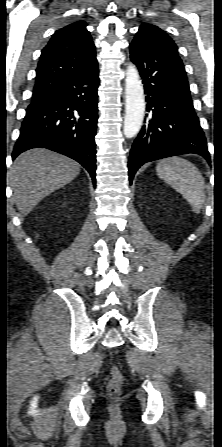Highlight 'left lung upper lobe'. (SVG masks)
<instances>
[{
    "mask_svg": "<svg viewBox=\"0 0 222 447\" xmlns=\"http://www.w3.org/2000/svg\"><path fill=\"white\" fill-rule=\"evenodd\" d=\"M136 36H142L150 40H156L158 42L164 43L173 50L177 51V46L174 41L159 27L144 23L140 26Z\"/></svg>",
    "mask_w": 222,
    "mask_h": 447,
    "instance_id": "5c2ea615",
    "label": "left lung upper lobe"
}]
</instances>
